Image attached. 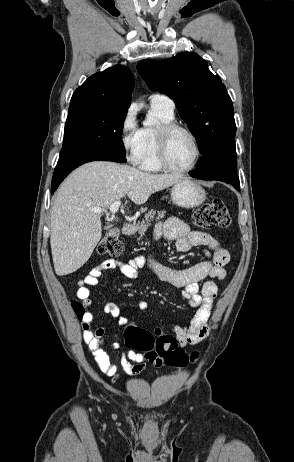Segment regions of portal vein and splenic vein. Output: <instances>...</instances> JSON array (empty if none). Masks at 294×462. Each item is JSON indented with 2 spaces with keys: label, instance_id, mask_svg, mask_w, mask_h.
I'll list each match as a JSON object with an SVG mask.
<instances>
[{
  "label": "portal vein and splenic vein",
  "instance_id": "1",
  "mask_svg": "<svg viewBox=\"0 0 294 462\" xmlns=\"http://www.w3.org/2000/svg\"><path fill=\"white\" fill-rule=\"evenodd\" d=\"M120 205H121L120 200H117V201H115L114 203H112V204L110 205V207H109L110 212H111L112 214H115V213L119 210ZM90 210H91L92 212L98 213V214H101V213L103 212V209H101V208H96V207L90 208Z\"/></svg>",
  "mask_w": 294,
  "mask_h": 462
}]
</instances>
